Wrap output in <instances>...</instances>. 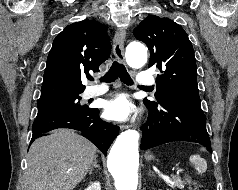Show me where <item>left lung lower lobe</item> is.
<instances>
[{"label":"left lung lower lobe","mask_w":238,"mask_h":190,"mask_svg":"<svg viewBox=\"0 0 238 190\" xmlns=\"http://www.w3.org/2000/svg\"><path fill=\"white\" fill-rule=\"evenodd\" d=\"M144 104L149 115L147 122L141 127V149L173 141H189L199 143L212 152L200 100L172 98L158 105Z\"/></svg>","instance_id":"left-lung-lower-lobe-1"}]
</instances>
